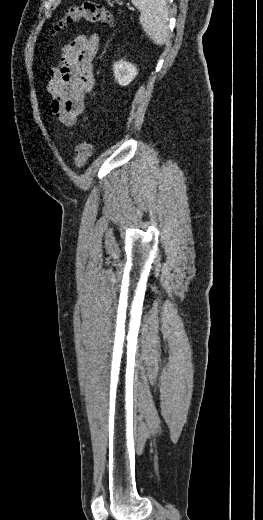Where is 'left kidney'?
<instances>
[{
  "label": "left kidney",
  "instance_id": "1",
  "mask_svg": "<svg viewBox=\"0 0 263 520\" xmlns=\"http://www.w3.org/2000/svg\"><path fill=\"white\" fill-rule=\"evenodd\" d=\"M113 72L115 80L122 86L128 85L138 74L133 64L123 60L114 64Z\"/></svg>",
  "mask_w": 263,
  "mask_h": 520
}]
</instances>
